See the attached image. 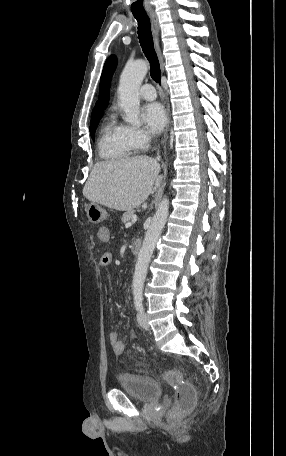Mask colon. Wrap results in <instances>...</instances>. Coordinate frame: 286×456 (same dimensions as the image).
<instances>
[{
  "label": "colon",
  "instance_id": "1",
  "mask_svg": "<svg viewBox=\"0 0 286 456\" xmlns=\"http://www.w3.org/2000/svg\"><path fill=\"white\" fill-rule=\"evenodd\" d=\"M161 377L175 389V405L179 410H190L196 400L195 388L185 383L181 374L176 370L161 373Z\"/></svg>",
  "mask_w": 286,
  "mask_h": 456
}]
</instances>
